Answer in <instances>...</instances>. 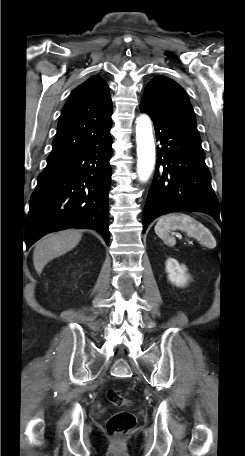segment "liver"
Here are the masks:
<instances>
[{
	"mask_svg": "<svg viewBox=\"0 0 245 456\" xmlns=\"http://www.w3.org/2000/svg\"><path fill=\"white\" fill-rule=\"evenodd\" d=\"M80 230L67 229L49 234L40 240L33 252L35 270L41 274L44 267L54 258L72 250L81 240Z\"/></svg>",
	"mask_w": 245,
	"mask_h": 456,
	"instance_id": "liver-1",
	"label": "liver"
}]
</instances>
